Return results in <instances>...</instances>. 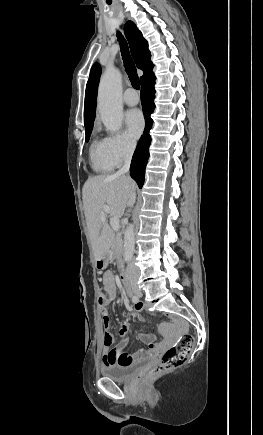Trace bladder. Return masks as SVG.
I'll list each match as a JSON object with an SVG mask.
<instances>
[{
	"instance_id": "obj_1",
	"label": "bladder",
	"mask_w": 263,
	"mask_h": 435,
	"mask_svg": "<svg viewBox=\"0 0 263 435\" xmlns=\"http://www.w3.org/2000/svg\"><path fill=\"white\" fill-rule=\"evenodd\" d=\"M145 362V360H139L132 364L105 366L101 369V373L114 381L124 382L136 374Z\"/></svg>"
}]
</instances>
